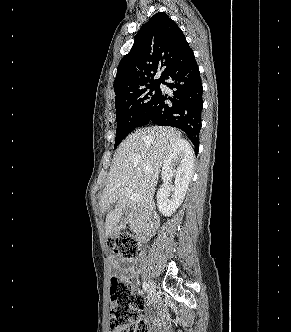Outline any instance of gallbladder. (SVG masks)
<instances>
[{
    "instance_id": "obj_1",
    "label": "gallbladder",
    "mask_w": 291,
    "mask_h": 332,
    "mask_svg": "<svg viewBox=\"0 0 291 332\" xmlns=\"http://www.w3.org/2000/svg\"><path fill=\"white\" fill-rule=\"evenodd\" d=\"M125 225V221L123 220L118 226L115 227L113 230V234H117Z\"/></svg>"
}]
</instances>
